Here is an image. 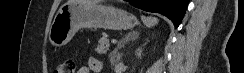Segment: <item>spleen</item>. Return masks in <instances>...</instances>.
I'll list each match as a JSON object with an SVG mask.
<instances>
[{"instance_id": "spleen-1", "label": "spleen", "mask_w": 244, "mask_h": 73, "mask_svg": "<svg viewBox=\"0 0 244 73\" xmlns=\"http://www.w3.org/2000/svg\"><path fill=\"white\" fill-rule=\"evenodd\" d=\"M141 20L143 21L144 25L148 28L157 25L159 21L156 17H145V16H141Z\"/></svg>"}]
</instances>
